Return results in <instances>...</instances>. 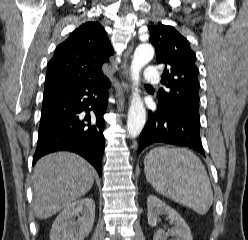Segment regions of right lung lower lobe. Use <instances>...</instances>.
<instances>
[{
    "label": "right lung lower lobe",
    "instance_id": "98d812e1",
    "mask_svg": "<svg viewBox=\"0 0 248 240\" xmlns=\"http://www.w3.org/2000/svg\"><path fill=\"white\" fill-rule=\"evenodd\" d=\"M109 87L110 81L104 77L44 95L33 164L48 153L72 151L88 160L101 175L103 115Z\"/></svg>",
    "mask_w": 248,
    "mask_h": 240
}]
</instances>
